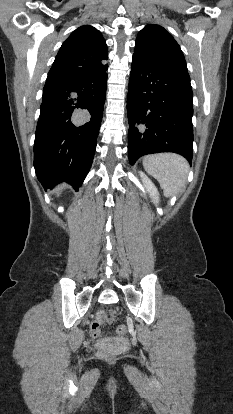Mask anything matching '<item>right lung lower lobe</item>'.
Masks as SVG:
<instances>
[{
  "mask_svg": "<svg viewBox=\"0 0 233 414\" xmlns=\"http://www.w3.org/2000/svg\"><path fill=\"white\" fill-rule=\"evenodd\" d=\"M107 69L71 78L48 74L34 142V167L45 190L63 181L77 189L84 181L101 125Z\"/></svg>",
  "mask_w": 233,
  "mask_h": 414,
  "instance_id": "1",
  "label": "right lung lower lobe"
}]
</instances>
